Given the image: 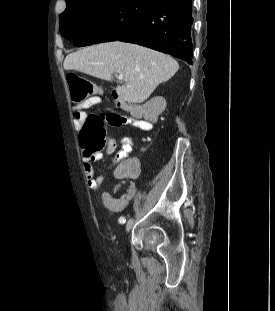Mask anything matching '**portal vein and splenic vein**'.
Instances as JSON below:
<instances>
[{"instance_id":"obj_1","label":"portal vein and splenic vein","mask_w":275,"mask_h":311,"mask_svg":"<svg viewBox=\"0 0 275 311\" xmlns=\"http://www.w3.org/2000/svg\"><path fill=\"white\" fill-rule=\"evenodd\" d=\"M117 78H118L119 80H122L124 77H123V75H120V74H119V75L117 76Z\"/></svg>"}]
</instances>
